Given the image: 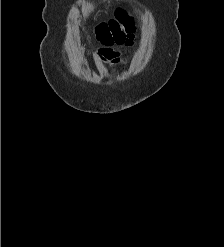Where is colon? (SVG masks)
I'll return each instance as SVG.
<instances>
[{
    "label": "colon",
    "mask_w": 224,
    "mask_h": 247,
    "mask_svg": "<svg viewBox=\"0 0 224 247\" xmlns=\"http://www.w3.org/2000/svg\"><path fill=\"white\" fill-rule=\"evenodd\" d=\"M133 18L125 9L119 8L116 10L115 17L97 24L94 32L99 40L114 39L117 36L134 31Z\"/></svg>",
    "instance_id": "obj_1"
}]
</instances>
